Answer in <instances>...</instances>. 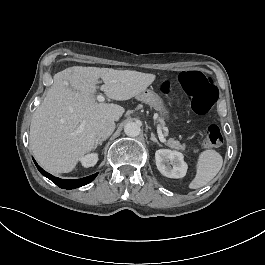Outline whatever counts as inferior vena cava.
Here are the masks:
<instances>
[{
    "mask_svg": "<svg viewBox=\"0 0 265 265\" xmlns=\"http://www.w3.org/2000/svg\"><path fill=\"white\" fill-rule=\"evenodd\" d=\"M115 129V123L110 120H103L96 128L98 138L109 137Z\"/></svg>",
    "mask_w": 265,
    "mask_h": 265,
    "instance_id": "1",
    "label": "inferior vena cava"
}]
</instances>
